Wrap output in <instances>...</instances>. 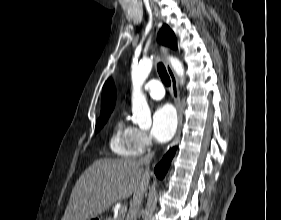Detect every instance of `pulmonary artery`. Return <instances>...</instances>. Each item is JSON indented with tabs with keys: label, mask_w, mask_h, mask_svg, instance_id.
<instances>
[{
	"label": "pulmonary artery",
	"mask_w": 281,
	"mask_h": 220,
	"mask_svg": "<svg viewBox=\"0 0 281 220\" xmlns=\"http://www.w3.org/2000/svg\"><path fill=\"white\" fill-rule=\"evenodd\" d=\"M144 90L154 100H160L164 96V88L162 84L156 79L147 82Z\"/></svg>",
	"instance_id": "1"
}]
</instances>
